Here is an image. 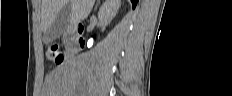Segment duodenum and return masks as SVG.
<instances>
[{
    "label": "duodenum",
    "mask_w": 232,
    "mask_h": 96,
    "mask_svg": "<svg viewBox=\"0 0 232 96\" xmlns=\"http://www.w3.org/2000/svg\"><path fill=\"white\" fill-rule=\"evenodd\" d=\"M64 36L68 40L66 57L73 58L80 53L84 47L83 26L81 24L68 26L64 31Z\"/></svg>",
    "instance_id": "1"
}]
</instances>
